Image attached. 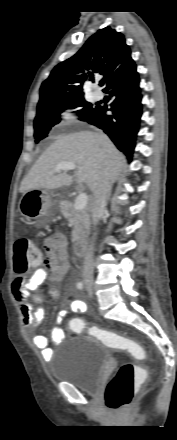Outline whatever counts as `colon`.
<instances>
[{"label": "colon", "mask_w": 177, "mask_h": 440, "mask_svg": "<svg viewBox=\"0 0 177 440\" xmlns=\"http://www.w3.org/2000/svg\"><path fill=\"white\" fill-rule=\"evenodd\" d=\"M44 259L42 251L29 237L19 238L14 245V270L23 273ZM70 330L76 333L87 331L91 336L102 341L106 346L130 352L137 359H143V348L132 339L115 332L102 330L88 324L80 318H72L68 323ZM145 378L144 371L137 365L126 363L119 367L116 374L108 382L104 400L108 408L120 410L128 407L134 394Z\"/></svg>", "instance_id": "1"}]
</instances>
